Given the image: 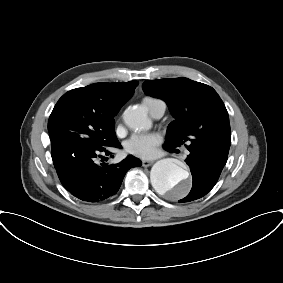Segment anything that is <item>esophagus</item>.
Segmentation results:
<instances>
[{"mask_svg":"<svg viewBox=\"0 0 283 283\" xmlns=\"http://www.w3.org/2000/svg\"><path fill=\"white\" fill-rule=\"evenodd\" d=\"M154 163V161H147V160H143L142 161V166L143 167H149Z\"/></svg>","mask_w":283,"mask_h":283,"instance_id":"34e87169","label":"esophagus"}]
</instances>
